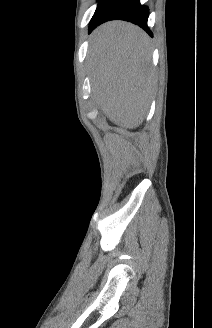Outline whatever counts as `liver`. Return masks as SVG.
<instances>
[{
  "label": "liver",
  "instance_id": "obj_1",
  "mask_svg": "<svg viewBox=\"0 0 212 328\" xmlns=\"http://www.w3.org/2000/svg\"><path fill=\"white\" fill-rule=\"evenodd\" d=\"M90 68L97 103L114 124H142L154 88L150 39L139 27L111 21L91 39Z\"/></svg>",
  "mask_w": 212,
  "mask_h": 328
}]
</instances>
